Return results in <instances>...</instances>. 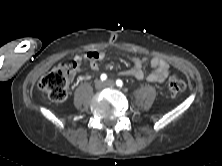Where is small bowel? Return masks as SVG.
Listing matches in <instances>:
<instances>
[{"label": "small bowel", "mask_w": 222, "mask_h": 166, "mask_svg": "<svg viewBox=\"0 0 222 166\" xmlns=\"http://www.w3.org/2000/svg\"><path fill=\"white\" fill-rule=\"evenodd\" d=\"M104 58L105 53L103 51H89L83 56H75L71 62V67L73 72L82 70L85 65H88L91 70L97 71L99 69V62ZM130 61L132 67L123 70L121 75L134 77L137 80L146 79L151 83H163L170 71L169 63L159 57L139 58L131 56ZM147 63L153 70L148 75H145L143 67Z\"/></svg>", "instance_id": "small-bowel-1"}]
</instances>
